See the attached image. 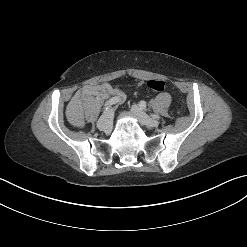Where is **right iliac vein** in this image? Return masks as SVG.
<instances>
[{
	"label": "right iliac vein",
	"instance_id": "1",
	"mask_svg": "<svg viewBox=\"0 0 247 247\" xmlns=\"http://www.w3.org/2000/svg\"><path fill=\"white\" fill-rule=\"evenodd\" d=\"M113 115L112 109L106 112L97 122V127L99 130L104 132H109L111 130V117Z\"/></svg>",
	"mask_w": 247,
	"mask_h": 247
}]
</instances>
